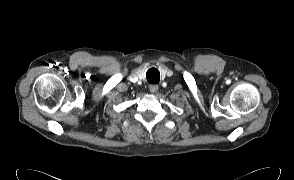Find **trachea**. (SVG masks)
I'll return each instance as SVG.
<instances>
[{
  "label": "trachea",
  "mask_w": 294,
  "mask_h": 180,
  "mask_svg": "<svg viewBox=\"0 0 294 180\" xmlns=\"http://www.w3.org/2000/svg\"><path fill=\"white\" fill-rule=\"evenodd\" d=\"M159 72L156 68H151L147 71L146 77L147 81L151 84L159 83Z\"/></svg>",
  "instance_id": "trachea-1"
}]
</instances>
